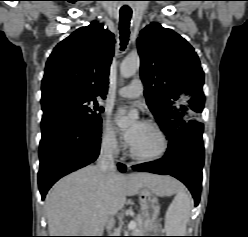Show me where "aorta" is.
Instances as JSON below:
<instances>
[{"instance_id": "762f6f07", "label": "aorta", "mask_w": 248, "mask_h": 237, "mask_svg": "<svg viewBox=\"0 0 248 237\" xmlns=\"http://www.w3.org/2000/svg\"><path fill=\"white\" fill-rule=\"evenodd\" d=\"M140 68V58L138 55L128 56L123 60L120 67L121 75L125 78L133 76ZM138 118L137 112H131L122 116L117 121L118 126L125 127Z\"/></svg>"}]
</instances>
